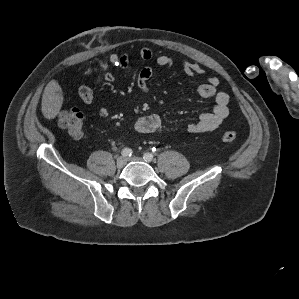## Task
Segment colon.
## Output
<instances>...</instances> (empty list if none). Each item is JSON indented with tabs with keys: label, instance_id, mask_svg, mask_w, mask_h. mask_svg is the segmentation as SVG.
I'll return each mask as SVG.
<instances>
[{
	"label": "colon",
	"instance_id": "5ec220e1",
	"mask_svg": "<svg viewBox=\"0 0 299 299\" xmlns=\"http://www.w3.org/2000/svg\"><path fill=\"white\" fill-rule=\"evenodd\" d=\"M83 121V113L78 108L62 110L58 115L59 126L70 136L77 139L82 138L84 135ZM237 137L238 134L235 130H227L221 135V139L225 142H232Z\"/></svg>",
	"mask_w": 299,
	"mask_h": 299
}]
</instances>
